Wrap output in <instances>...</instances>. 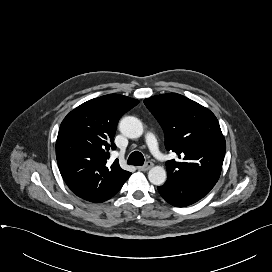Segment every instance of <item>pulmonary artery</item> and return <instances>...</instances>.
Masks as SVG:
<instances>
[{
  "label": "pulmonary artery",
  "mask_w": 272,
  "mask_h": 272,
  "mask_svg": "<svg viewBox=\"0 0 272 272\" xmlns=\"http://www.w3.org/2000/svg\"><path fill=\"white\" fill-rule=\"evenodd\" d=\"M145 139H146V143H147L150 151L153 153V155L156 156L159 159H162L163 156L160 153V150H159V147H158V142H157V139H156L154 133L147 132L146 136H145Z\"/></svg>",
  "instance_id": "pulmonary-artery-1"
}]
</instances>
